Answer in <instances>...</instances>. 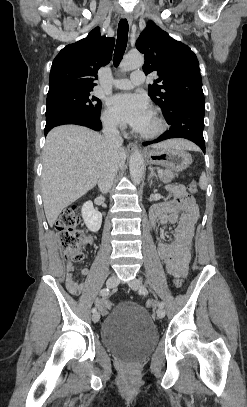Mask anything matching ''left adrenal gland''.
I'll list each match as a JSON object with an SVG mask.
<instances>
[{"label": "left adrenal gland", "instance_id": "1", "mask_svg": "<svg viewBox=\"0 0 247 407\" xmlns=\"http://www.w3.org/2000/svg\"><path fill=\"white\" fill-rule=\"evenodd\" d=\"M150 171H151L150 176H155L157 178V175L155 174V172L152 168H150Z\"/></svg>", "mask_w": 247, "mask_h": 407}]
</instances>
